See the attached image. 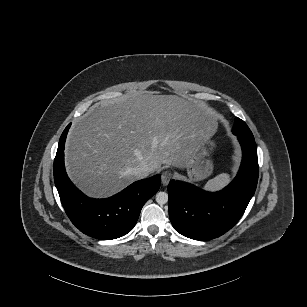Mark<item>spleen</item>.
Segmentation results:
<instances>
[{"mask_svg": "<svg viewBox=\"0 0 307 307\" xmlns=\"http://www.w3.org/2000/svg\"><path fill=\"white\" fill-rule=\"evenodd\" d=\"M232 182V175L229 173H222L217 175L212 180H209L202 190L208 193H218L225 189Z\"/></svg>", "mask_w": 307, "mask_h": 307, "instance_id": "obj_1", "label": "spleen"}]
</instances>
